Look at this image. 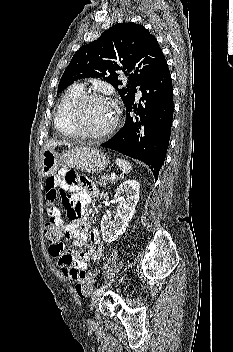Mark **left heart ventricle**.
I'll return each mask as SVG.
<instances>
[{
    "mask_svg": "<svg viewBox=\"0 0 233 352\" xmlns=\"http://www.w3.org/2000/svg\"><path fill=\"white\" fill-rule=\"evenodd\" d=\"M114 110L104 100H89L83 104L78 115L80 128L87 132H99L106 129L112 122Z\"/></svg>",
    "mask_w": 233,
    "mask_h": 352,
    "instance_id": "left-heart-ventricle-1",
    "label": "left heart ventricle"
}]
</instances>
